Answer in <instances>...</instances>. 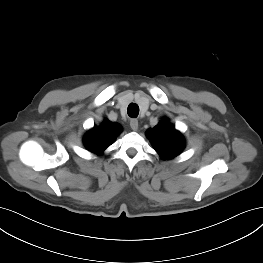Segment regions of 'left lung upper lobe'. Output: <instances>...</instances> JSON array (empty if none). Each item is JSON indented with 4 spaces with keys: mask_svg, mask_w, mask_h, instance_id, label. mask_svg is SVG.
<instances>
[{
    "mask_svg": "<svg viewBox=\"0 0 263 263\" xmlns=\"http://www.w3.org/2000/svg\"><path fill=\"white\" fill-rule=\"evenodd\" d=\"M147 137L163 159H171L182 152L185 141L182 134L164 118L158 125L147 130Z\"/></svg>",
    "mask_w": 263,
    "mask_h": 263,
    "instance_id": "5c2ea615",
    "label": "left lung upper lobe"
}]
</instances>
